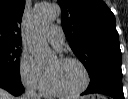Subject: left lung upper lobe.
<instances>
[{
  "label": "left lung upper lobe",
  "mask_w": 128,
  "mask_h": 99,
  "mask_svg": "<svg viewBox=\"0 0 128 99\" xmlns=\"http://www.w3.org/2000/svg\"><path fill=\"white\" fill-rule=\"evenodd\" d=\"M64 33L91 74L102 63H120L115 17L103 0H58Z\"/></svg>",
  "instance_id": "5c2ea615"
}]
</instances>
